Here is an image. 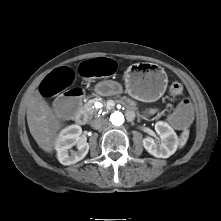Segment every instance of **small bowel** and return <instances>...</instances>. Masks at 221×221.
Here are the masks:
<instances>
[{"mask_svg": "<svg viewBox=\"0 0 221 221\" xmlns=\"http://www.w3.org/2000/svg\"><path fill=\"white\" fill-rule=\"evenodd\" d=\"M154 112V110H150V113H153Z\"/></svg>", "mask_w": 221, "mask_h": 221, "instance_id": "small-bowel-1", "label": "small bowel"}]
</instances>
